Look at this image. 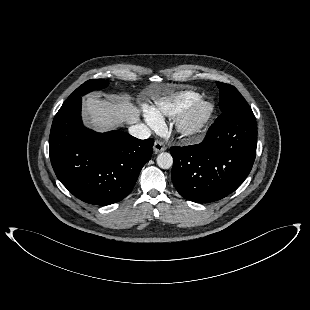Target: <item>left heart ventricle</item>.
Instances as JSON below:
<instances>
[{
  "label": "left heart ventricle",
  "mask_w": 310,
  "mask_h": 310,
  "mask_svg": "<svg viewBox=\"0 0 310 310\" xmlns=\"http://www.w3.org/2000/svg\"><path fill=\"white\" fill-rule=\"evenodd\" d=\"M203 112H204V109H203V108L197 109V110L195 111L194 115H193V120H194V121L199 120V118L202 116Z\"/></svg>",
  "instance_id": "b2bd125f"
}]
</instances>
